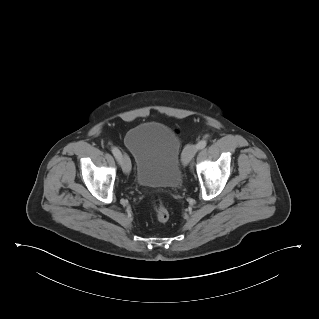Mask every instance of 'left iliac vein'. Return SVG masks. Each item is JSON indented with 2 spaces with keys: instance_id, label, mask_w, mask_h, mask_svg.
<instances>
[{
  "instance_id": "1",
  "label": "left iliac vein",
  "mask_w": 319,
  "mask_h": 319,
  "mask_svg": "<svg viewBox=\"0 0 319 319\" xmlns=\"http://www.w3.org/2000/svg\"><path fill=\"white\" fill-rule=\"evenodd\" d=\"M197 145L195 144H188L182 154V163L184 166H187L190 161L193 159L194 155L197 152Z\"/></svg>"
}]
</instances>
